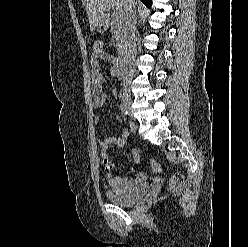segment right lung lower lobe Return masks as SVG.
Listing matches in <instances>:
<instances>
[{"label": "right lung lower lobe", "instance_id": "obj_1", "mask_svg": "<svg viewBox=\"0 0 248 247\" xmlns=\"http://www.w3.org/2000/svg\"><path fill=\"white\" fill-rule=\"evenodd\" d=\"M141 1L148 7L152 5V0H141Z\"/></svg>", "mask_w": 248, "mask_h": 247}]
</instances>
